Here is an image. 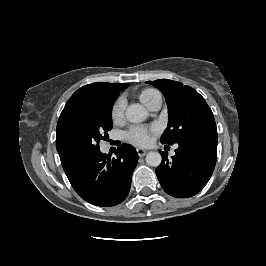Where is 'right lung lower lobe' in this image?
Returning <instances> with one entry per match:
<instances>
[{"label": "right lung lower lobe", "instance_id": "98d812e1", "mask_svg": "<svg viewBox=\"0 0 266 266\" xmlns=\"http://www.w3.org/2000/svg\"><path fill=\"white\" fill-rule=\"evenodd\" d=\"M116 158L100 150L83 159L68 179L85 201L96 206H115L127 197L138 161L136 150L118 146Z\"/></svg>", "mask_w": 266, "mask_h": 266}]
</instances>
